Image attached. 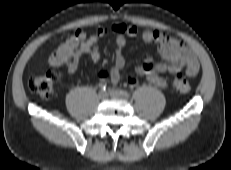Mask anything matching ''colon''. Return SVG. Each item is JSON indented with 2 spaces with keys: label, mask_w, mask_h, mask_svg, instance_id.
Segmentation results:
<instances>
[{
  "label": "colon",
  "mask_w": 231,
  "mask_h": 170,
  "mask_svg": "<svg viewBox=\"0 0 231 170\" xmlns=\"http://www.w3.org/2000/svg\"><path fill=\"white\" fill-rule=\"evenodd\" d=\"M87 33L78 30L75 34L63 41L49 57L51 66H62L70 60L73 54L78 50L80 44L86 39ZM56 75L47 71L32 78L28 87L29 90L44 100H49L54 92ZM171 89L175 93L185 94L190 90L188 80L182 75L177 74L171 84Z\"/></svg>",
  "instance_id": "obj_1"
}]
</instances>
